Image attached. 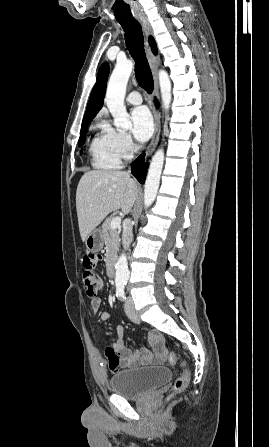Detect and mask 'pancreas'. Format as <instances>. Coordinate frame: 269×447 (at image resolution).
<instances>
[{"instance_id": "1", "label": "pancreas", "mask_w": 269, "mask_h": 447, "mask_svg": "<svg viewBox=\"0 0 269 447\" xmlns=\"http://www.w3.org/2000/svg\"><path fill=\"white\" fill-rule=\"evenodd\" d=\"M111 220L112 216H110V218H107L106 222H103L102 224V231L107 249L105 259L107 269H110V265H112V263H115L116 261L120 241L119 237L120 231H117V229H112L110 225Z\"/></svg>"}]
</instances>
